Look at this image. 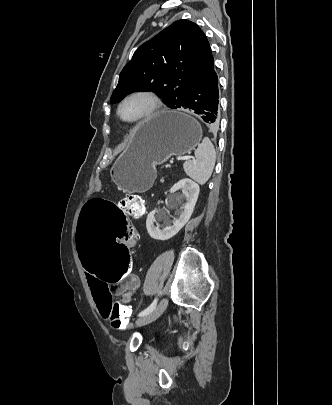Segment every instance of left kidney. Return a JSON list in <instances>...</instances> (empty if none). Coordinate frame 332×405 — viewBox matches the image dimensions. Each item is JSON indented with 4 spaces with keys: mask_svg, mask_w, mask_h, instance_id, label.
<instances>
[{
    "mask_svg": "<svg viewBox=\"0 0 332 405\" xmlns=\"http://www.w3.org/2000/svg\"><path fill=\"white\" fill-rule=\"evenodd\" d=\"M177 190H182V193L185 195L187 200L184 204L183 211L181 212L179 219L175 220L172 226L170 225L169 221H166V227L160 229L159 226L154 225V222L156 218L159 220L162 219L163 214L157 209L150 212L147 216L146 228L151 238L162 241L168 240L176 235L189 221L197 202L200 188L193 181L184 178L174 184L170 189V192L174 193ZM159 202L160 201H158V203Z\"/></svg>",
    "mask_w": 332,
    "mask_h": 405,
    "instance_id": "5707ae66",
    "label": "left kidney"
}]
</instances>
